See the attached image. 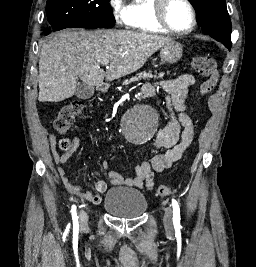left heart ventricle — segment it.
<instances>
[{"mask_svg": "<svg viewBox=\"0 0 256 267\" xmlns=\"http://www.w3.org/2000/svg\"><path fill=\"white\" fill-rule=\"evenodd\" d=\"M166 19L177 31H186L191 27L192 16L189 8L182 2L171 0L166 7Z\"/></svg>", "mask_w": 256, "mask_h": 267, "instance_id": "1", "label": "left heart ventricle"}]
</instances>
